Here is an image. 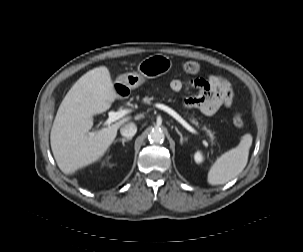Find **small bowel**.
<instances>
[{"instance_id": "obj_1", "label": "small bowel", "mask_w": 303, "mask_h": 252, "mask_svg": "<svg viewBox=\"0 0 303 252\" xmlns=\"http://www.w3.org/2000/svg\"><path fill=\"white\" fill-rule=\"evenodd\" d=\"M189 87L197 90L198 94L183 99V105L187 109H198L202 114L212 116L221 107L232 105L233 87L220 76L211 74L205 79H195L189 83ZM170 88L174 92H180L184 88V82L175 79L170 83Z\"/></svg>"}]
</instances>
